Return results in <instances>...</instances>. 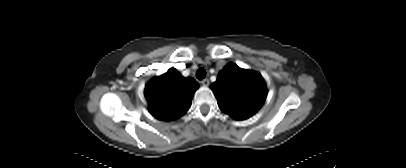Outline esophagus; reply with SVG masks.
<instances>
[{
  "label": "esophagus",
  "instance_id": "obj_1",
  "mask_svg": "<svg viewBox=\"0 0 406 168\" xmlns=\"http://www.w3.org/2000/svg\"><path fill=\"white\" fill-rule=\"evenodd\" d=\"M201 83H202L203 86L207 87L210 82H209V79L205 78V79H203V80L201 81Z\"/></svg>",
  "mask_w": 406,
  "mask_h": 168
}]
</instances>
